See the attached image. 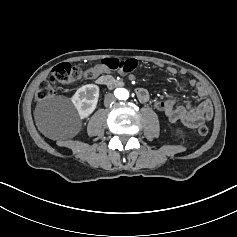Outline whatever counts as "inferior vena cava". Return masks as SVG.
Segmentation results:
<instances>
[{
  "mask_svg": "<svg viewBox=\"0 0 237 237\" xmlns=\"http://www.w3.org/2000/svg\"><path fill=\"white\" fill-rule=\"evenodd\" d=\"M116 101V97L113 95V94H108L106 97H105V105H110L111 103L115 102Z\"/></svg>",
  "mask_w": 237,
  "mask_h": 237,
  "instance_id": "obj_1",
  "label": "inferior vena cava"
}]
</instances>
